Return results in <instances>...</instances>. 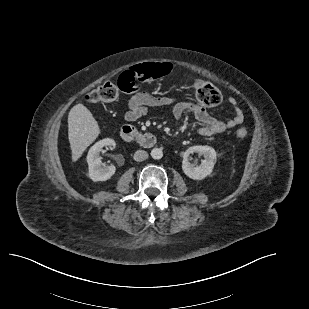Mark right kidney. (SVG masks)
I'll return each instance as SVG.
<instances>
[{"label": "right kidney", "mask_w": 309, "mask_h": 309, "mask_svg": "<svg viewBox=\"0 0 309 309\" xmlns=\"http://www.w3.org/2000/svg\"><path fill=\"white\" fill-rule=\"evenodd\" d=\"M105 146L115 147V141L110 138H106L96 142L89 150L87 154V163L89 170V177L92 181H106L110 179L116 171L115 166H102L100 152Z\"/></svg>", "instance_id": "obj_1"}]
</instances>
